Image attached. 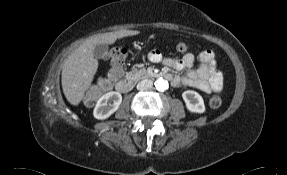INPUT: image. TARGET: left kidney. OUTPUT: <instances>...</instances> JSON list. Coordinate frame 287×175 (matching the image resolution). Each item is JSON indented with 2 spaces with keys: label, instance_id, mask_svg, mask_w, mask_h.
<instances>
[{
  "label": "left kidney",
  "instance_id": "1",
  "mask_svg": "<svg viewBox=\"0 0 287 175\" xmlns=\"http://www.w3.org/2000/svg\"><path fill=\"white\" fill-rule=\"evenodd\" d=\"M186 107L191 112L203 113L205 111L203 98L194 91H185L182 94Z\"/></svg>",
  "mask_w": 287,
  "mask_h": 175
}]
</instances>
